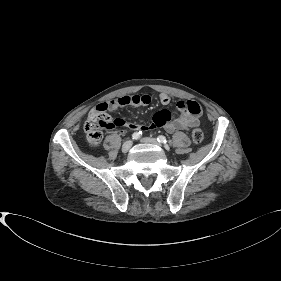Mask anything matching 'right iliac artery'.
I'll return each instance as SVG.
<instances>
[{
    "mask_svg": "<svg viewBox=\"0 0 281 281\" xmlns=\"http://www.w3.org/2000/svg\"><path fill=\"white\" fill-rule=\"evenodd\" d=\"M141 132H135L132 134V139L137 140L141 136Z\"/></svg>",
    "mask_w": 281,
    "mask_h": 281,
    "instance_id": "82829eb1",
    "label": "right iliac artery"
}]
</instances>
